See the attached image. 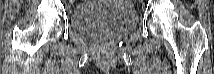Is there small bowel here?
Wrapping results in <instances>:
<instances>
[{
  "label": "small bowel",
  "instance_id": "1",
  "mask_svg": "<svg viewBox=\"0 0 214 74\" xmlns=\"http://www.w3.org/2000/svg\"><path fill=\"white\" fill-rule=\"evenodd\" d=\"M124 4H125V5H128L129 3H128L127 1H124Z\"/></svg>",
  "mask_w": 214,
  "mask_h": 74
}]
</instances>
